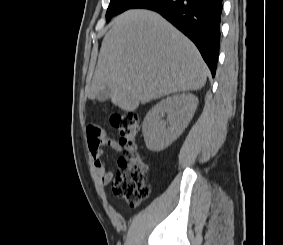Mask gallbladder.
I'll return each instance as SVG.
<instances>
[{
    "label": "gallbladder",
    "mask_w": 283,
    "mask_h": 245,
    "mask_svg": "<svg viewBox=\"0 0 283 245\" xmlns=\"http://www.w3.org/2000/svg\"><path fill=\"white\" fill-rule=\"evenodd\" d=\"M109 95H110L109 89H108V88H105V89L100 90V91L98 92L97 98H98V100H100V101H104V100H107V99L109 98Z\"/></svg>",
    "instance_id": "1"
}]
</instances>
